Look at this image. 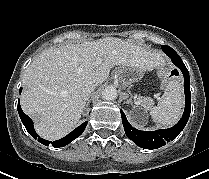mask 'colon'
I'll use <instances>...</instances> for the list:
<instances>
[{"instance_id": "5ec220e1", "label": "colon", "mask_w": 209, "mask_h": 179, "mask_svg": "<svg viewBox=\"0 0 209 179\" xmlns=\"http://www.w3.org/2000/svg\"><path fill=\"white\" fill-rule=\"evenodd\" d=\"M176 76H178V70H172L168 73L167 79L171 80V79L175 78Z\"/></svg>"}]
</instances>
